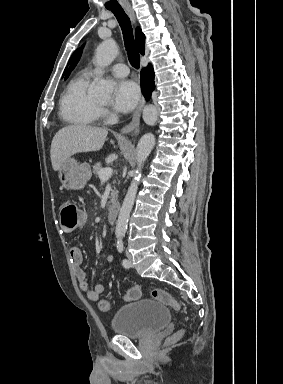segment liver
Segmentation results:
<instances>
[{
	"instance_id": "1",
	"label": "liver",
	"mask_w": 283,
	"mask_h": 384,
	"mask_svg": "<svg viewBox=\"0 0 283 384\" xmlns=\"http://www.w3.org/2000/svg\"><path fill=\"white\" fill-rule=\"evenodd\" d=\"M107 134L106 128H92L86 124L62 128L55 134L51 144L53 170H60L63 162L78 152H98L103 148Z\"/></svg>"
}]
</instances>
